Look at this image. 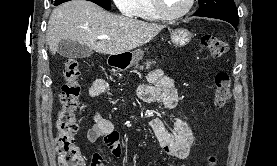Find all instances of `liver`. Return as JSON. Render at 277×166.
Wrapping results in <instances>:
<instances>
[{"mask_svg":"<svg viewBox=\"0 0 277 166\" xmlns=\"http://www.w3.org/2000/svg\"><path fill=\"white\" fill-rule=\"evenodd\" d=\"M164 25L105 11L87 0H71L56 7L49 18L47 44L54 55L62 40H72L102 54H121L150 42ZM109 36L101 39L98 36Z\"/></svg>","mask_w":277,"mask_h":166,"instance_id":"6515ba94","label":"liver"}]
</instances>
